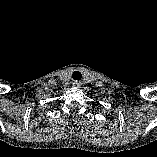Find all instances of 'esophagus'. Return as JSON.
<instances>
[{"label":"esophagus","mask_w":157,"mask_h":157,"mask_svg":"<svg viewBox=\"0 0 157 157\" xmlns=\"http://www.w3.org/2000/svg\"><path fill=\"white\" fill-rule=\"evenodd\" d=\"M73 85L80 86L81 85V81L75 80V81H73Z\"/></svg>","instance_id":"esophagus-1"}]
</instances>
